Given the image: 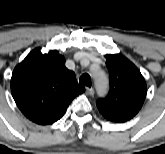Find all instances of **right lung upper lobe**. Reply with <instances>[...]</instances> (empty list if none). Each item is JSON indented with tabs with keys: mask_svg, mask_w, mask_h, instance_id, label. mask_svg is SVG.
I'll return each mask as SVG.
<instances>
[{
	"mask_svg": "<svg viewBox=\"0 0 165 154\" xmlns=\"http://www.w3.org/2000/svg\"><path fill=\"white\" fill-rule=\"evenodd\" d=\"M84 91L56 50L43 54L39 48L34 49L12 73V96L30 120L70 104Z\"/></svg>",
	"mask_w": 165,
	"mask_h": 154,
	"instance_id": "1",
	"label": "right lung upper lobe"
}]
</instances>
